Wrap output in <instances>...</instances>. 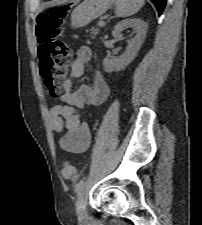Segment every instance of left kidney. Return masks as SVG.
Masks as SVG:
<instances>
[{
    "label": "left kidney",
    "instance_id": "1",
    "mask_svg": "<svg viewBox=\"0 0 202 225\" xmlns=\"http://www.w3.org/2000/svg\"><path fill=\"white\" fill-rule=\"evenodd\" d=\"M128 28H133L136 35L127 41L128 45L125 53L112 59L108 57L103 59L104 70L108 73L124 70L136 58L137 53L145 40L148 25L139 18L126 19L117 23L112 32L113 37L122 40V31Z\"/></svg>",
    "mask_w": 202,
    "mask_h": 225
}]
</instances>
